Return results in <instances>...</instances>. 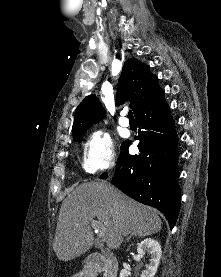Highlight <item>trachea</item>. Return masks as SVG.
Here are the masks:
<instances>
[{"label":"trachea","mask_w":221,"mask_h":277,"mask_svg":"<svg viewBox=\"0 0 221 277\" xmlns=\"http://www.w3.org/2000/svg\"><path fill=\"white\" fill-rule=\"evenodd\" d=\"M128 118H129V119H134V117H133V112H132V111H129V112H128Z\"/></svg>","instance_id":"3493384b"}]
</instances>
